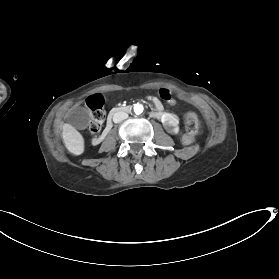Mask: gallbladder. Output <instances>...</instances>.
I'll list each match as a JSON object with an SVG mask.
<instances>
[{
  "label": "gallbladder",
  "instance_id": "1",
  "mask_svg": "<svg viewBox=\"0 0 279 279\" xmlns=\"http://www.w3.org/2000/svg\"><path fill=\"white\" fill-rule=\"evenodd\" d=\"M92 116V111L88 107H83L80 110L71 109L69 111V119L74 127H81L85 129L87 127L88 119Z\"/></svg>",
  "mask_w": 279,
  "mask_h": 279
}]
</instances>
